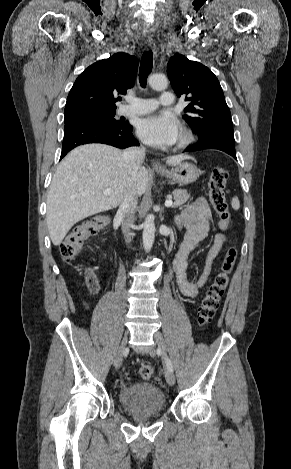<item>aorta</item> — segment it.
<instances>
[{"label": "aorta", "instance_id": "obj_1", "mask_svg": "<svg viewBox=\"0 0 291 469\" xmlns=\"http://www.w3.org/2000/svg\"><path fill=\"white\" fill-rule=\"evenodd\" d=\"M149 85L155 90H164L168 86V81L164 75H152L149 78ZM155 230L154 217L148 215L143 224V245L147 252L153 246Z\"/></svg>", "mask_w": 291, "mask_h": 469}]
</instances>
